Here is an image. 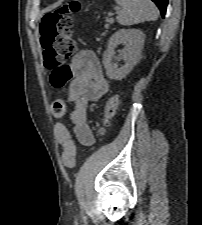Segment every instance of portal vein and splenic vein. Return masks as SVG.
Segmentation results:
<instances>
[{
	"label": "portal vein and splenic vein",
	"mask_w": 202,
	"mask_h": 225,
	"mask_svg": "<svg viewBox=\"0 0 202 225\" xmlns=\"http://www.w3.org/2000/svg\"><path fill=\"white\" fill-rule=\"evenodd\" d=\"M108 21H109L110 23H112V22H114V19L111 17V18L108 19Z\"/></svg>",
	"instance_id": "1"
}]
</instances>
